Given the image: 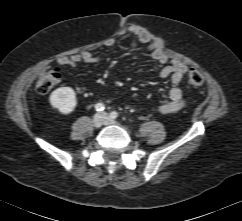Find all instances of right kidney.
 Returning a JSON list of instances; mask_svg holds the SVG:
<instances>
[{"label": "right kidney", "instance_id": "right-kidney-1", "mask_svg": "<svg viewBox=\"0 0 242 221\" xmlns=\"http://www.w3.org/2000/svg\"><path fill=\"white\" fill-rule=\"evenodd\" d=\"M50 104L62 114H70L77 105L75 91L71 87H60L50 95Z\"/></svg>", "mask_w": 242, "mask_h": 221}]
</instances>
